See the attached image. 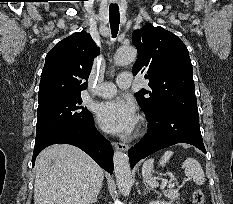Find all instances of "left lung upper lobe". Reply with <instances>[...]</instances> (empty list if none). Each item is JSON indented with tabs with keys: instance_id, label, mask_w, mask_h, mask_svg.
<instances>
[{
	"instance_id": "5c2ea615",
	"label": "left lung upper lobe",
	"mask_w": 233,
	"mask_h": 204,
	"mask_svg": "<svg viewBox=\"0 0 233 204\" xmlns=\"http://www.w3.org/2000/svg\"><path fill=\"white\" fill-rule=\"evenodd\" d=\"M138 57L132 72L149 80V90L135 93L147 116L166 109L198 112L192 64L179 37L151 24L132 34Z\"/></svg>"
}]
</instances>
